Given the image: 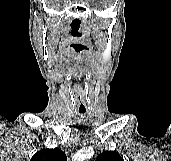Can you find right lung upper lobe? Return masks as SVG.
Returning <instances> with one entry per match:
<instances>
[{"label": "right lung upper lobe", "mask_w": 171, "mask_h": 161, "mask_svg": "<svg viewBox=\"0 0 171 161\" xmlns=\"http://www.w3.org/2000/svg\"><path fill=\"white\" fill-rule=\"evenodd\" d=\"M30 161H67V157L59 148L41 149Z\"/></svg>", "instance_id": "obj_1"}]
</instances>
